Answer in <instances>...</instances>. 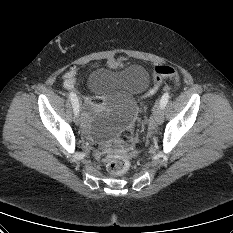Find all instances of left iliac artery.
<instances>
[{"label":"left iliac artery","instance_id":"44dca946","mask_svg":"<svg viewBox=\"0 0 233 233\" xmlns=\"http://www.w3.org/2000/svg\"><path fill=\"white\" fill-rule=\"evenodd\" d=\"M169 100V93L166 92L163 94L160 100L161 107L164 108Z\"/></svg>","mask_w":233,"mask_h":233}]
</instances>
